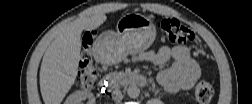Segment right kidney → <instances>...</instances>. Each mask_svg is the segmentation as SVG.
Wrapping results in <instances>:
<instances>
[{
	"label": "right kidney",
	"mask_w": 252,
	"mask_h": 104,
	"mask_svg": "<svg viewBox=\"0 0 252 104\" xmlns=\"http://www.w3.org/2000/svg\"><path fill=\"white\" fill-rule=\"evenodd\" d=\"M92 98V94L88 91H76L69 95L65 101L66 104H80L82 100Z\"/></svg>",
	"instance_id": "obj_1"
}]
</instances>
